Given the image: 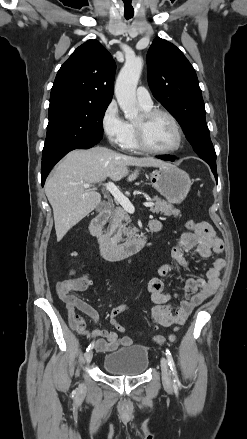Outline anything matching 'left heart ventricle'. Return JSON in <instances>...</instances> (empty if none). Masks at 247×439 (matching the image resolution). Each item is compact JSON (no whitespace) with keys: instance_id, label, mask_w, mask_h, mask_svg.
Wrapping results in <instances>:
<instances>
[{"instance_id":"1","label":"left heart ventricle","mask_w":247,"mask_h":439,"mask_svg":"<svg viewBox=\"0 0 247 439\" xmlns=\"http://www.w3.org/2000/svg\"><path fill=\"white\" fill-rule=\"evenodd\" d=\"M140 116L136 123L140 122ZM146 140L156 149H168L175 145L177 140L174 125L166 116L158 115L152 118L146 125Z\"/></svg>"}]
</instances>
